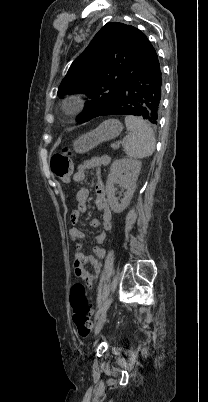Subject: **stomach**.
<instances>
[{
  "label": "stomach",
  "instance_id": "1",
  "mask_svg": "<svg viewBox=\"0 0 208 402\" xmlns=\"http://www.w3.org/2000/svg\"><path fill=\"white\" fill-rule=\"evenodd\" d=\"M122 130L123 126L119 120H106L96 130L83 134L78 140H75L73 150L76 154H85V152H89V150L101 144V142H108V140L117 138Z\"/></svg>",
  "mask_w": 208,
  "mask_h": 402
}]
</instances>
